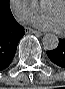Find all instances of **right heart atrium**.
<instances>
[{
  "label": "right heart atrium",
  "instance_id": "right-heart-atrium-1",
  "mask_svg": "<svg viewBox=\"0 0 65 89\" xmlns=\"http://www.w3.org/2000/svg\"><path fill=\"white\" fill-rule=\"evenodd\" d=\"M11 8L23 22L31 21L40 11V5L35 0H12Z\"/></svg>",
  "mask_w": 65,
  "mask_h": 89
}]
</instances>
